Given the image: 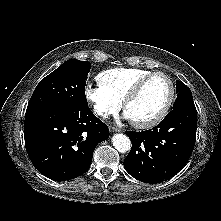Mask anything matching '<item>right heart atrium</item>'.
Returning <instances> with one entry per match:
<instances>
[{"instance_id": "1", "label": "right heart atrium", "mask_w": 221, "mask_h": 221, "mask_svg": "<svg viewBox=\"0 0 221 221\" xmlns=\"http://www.w3.org/2000/svg\"><path fill=\"white\" fill-rule=\"evenodd\" d=\"M86 100L94 113L100 118H107L121 108V103L112 97L100 84H87L84 89Z\"/></svg>"}]
</instances>
